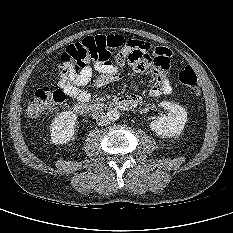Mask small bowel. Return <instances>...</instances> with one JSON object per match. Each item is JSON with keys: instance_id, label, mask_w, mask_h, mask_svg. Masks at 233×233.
Masks as SVG:
<instances>
[{"instance_id": "1", "label": "small bowel", "mask_w": 233, "mask_h": 233, "mask_svg": "<svg viewBox=\"0 0 233 233\" xmlns=\"http://www.w3.org/2000/svg\"><path fill=\"white\" fill-rule=\"evenodd\" d=\"M171 55V50L166 47L152 49L150 44L136 41L126 55L125 66L131 72L153 74L154 81L149 89L150 96L168 95L172 92V86L167 77L170 71ZM120 69L121 66L116 64L95 63L79 71L61 72L58 86L71 100L77 103L87 102L90 99V93L85 87L90 82L97 87L113 82L117 79ZM94 71L98 73L95 78H93Z\"/></svg>"}]
</instances>
